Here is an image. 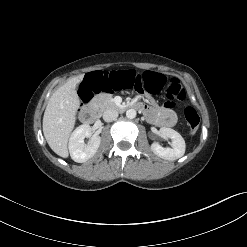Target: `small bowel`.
<instances>
[{
	"instance_id": "small-bowel-1",
	"label": "small bowel",
	"mask_w": 247,
	"mask_h": 247,
	"mask_svg": "<svg viewBox=\"0 0 247 247\" xmlns=\"http://www.w3.org/2000/svg\"><path fill=\"white\" fill-rule=\"evenodd\" d=\"M145 107L144 113L148 120L159 127H172L177 122V116L170 106L158 107L147 102L142 103Z\"/></svg>"
}]
</instances>
